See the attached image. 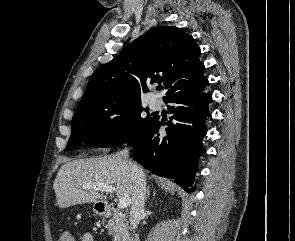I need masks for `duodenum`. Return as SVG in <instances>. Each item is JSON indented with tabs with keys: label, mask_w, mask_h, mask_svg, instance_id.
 Wrapping results in <instances>:
<instances>
[{
	"label": "duodenum",
	"mask_w": 295,
	"mask_h": 241,
	"mask_svg": "<svg viewBox=\"0 0 295 241\" xmlns=\"http://www.w3.org/2000/svg\"><path fill=\"white\" fill-rule=\"evenodd\" d=\"M100 211H102L104 214H108L111 211V205L107 203H101ZM124 241H133V239L130 237H126Z\"/></svg>",
	"instance_id": "410a0bca"
}]
</instances>
